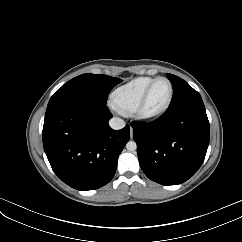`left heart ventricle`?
Here are the masks:
<instances>
[{"mask_svg":"<svg viewBox=\"0 0 242 242\" xmlns=\"http://www.w3.org/2000/svg\"><path fill=\"white\" fill-rule=\"evenodd\" d=\"M169 91V84L166 81L160 80L156 82L149 94L147 109L155 110L162 106L169 96Z\"/></svg>","mask_w":242,"mask_h":242,"instance_id":"obj_1","label":"left heart ventricle"}]
</instances>
